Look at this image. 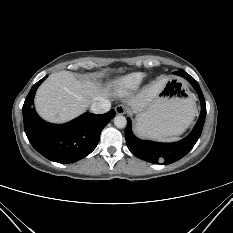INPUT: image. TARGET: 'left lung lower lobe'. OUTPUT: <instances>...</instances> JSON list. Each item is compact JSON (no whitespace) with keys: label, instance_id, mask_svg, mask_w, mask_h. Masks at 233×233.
Wrapping results in <instances>:
<instances>
[{"label":"left lung lower lobe","instance_id":"obj_1","mask_svg":"<svg viewBox=\"0 0 233 233\" xmlns=\"http://www.w3.org/2000/svg\"><path fill=\"white\" fill-rule=\"evenodd\" d=\"M175 74L188 80L197 91L201 102V113L192 132L184 139L174 143H160L137 138L132 132L131 120L127 118L125 139L128 149L136 157L150 163L158 164L159 162H163V164H171L178 161L193 148L203 129L206 117V104L199 84L183 70L176 71Z\"/></svg>","mask_w":233,"mask_h":233}]
</instances>
